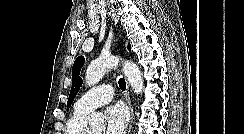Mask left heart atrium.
Segmentation results:
<instances>
[{
    "mask_svg": "<svg viewBox=\"0 0 244 134\" xmlns=\"http://www.w3.org/2000/svg\"><path fill=\"white\" fill-rule=\"evenodd\" d=\"M106 129L104 134H124L128 122V113L121 104L110 106L105 111Z\"/></svg>",
    "mask_w": 244,
    "mask_h": 134,
    "instance_id": "obj_1",
    "label": "left heart atrium"
}]
</instances>
